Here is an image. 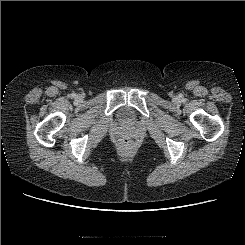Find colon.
<instances>
[{
    "instance_id": "obj_1",
    "label": "colon",
    "mask_w": 245,
    "mask_h": 245,
    "mask_svg": "<svg viewBox=\"0 0 245 245\" xmlns=\"http://www.w3.org/2000/svg\"><path fill=\"white\" fill-rule=\"evenodd\" d=\"M122 145L125 147H131L132 146V141L129 139H124L122 140Z\"/></svg>"
}]
</instances>
